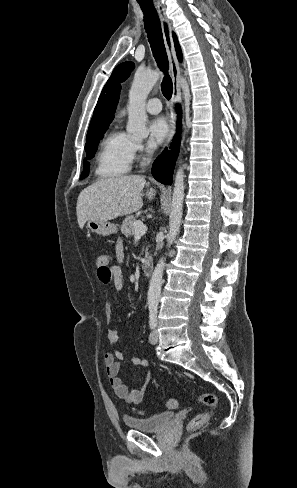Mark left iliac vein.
Instances as JSON below:
<instances>
[{
    "label": "left iliac vein",
    "instance_id": "left-iliac-vein-1",
    "mask_svg": "<svg viewBox=\"0 0 297 488\" xmlns=\"http://www.w3.org/2000/svg\"><path fill=\"white\" fill-rule=\"evenodd\" d=\"M158 339H159V334L157 332V330H153L151 333H150V336H149V342L151 344H156L158 342Z\"/></svg>",
    "mask_w": 297,
    "mask_h": 488
}]
</instances>
